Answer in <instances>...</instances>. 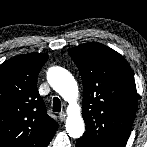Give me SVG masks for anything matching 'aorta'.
<instances>
[{"label": "aorta", "mask_w": 147, "mask_h": 147, "mask_svg": "<svg viewBox=\"0 0 147 147\" xmlns=\"http://www.w3.org/2000/svg\"><path fill=\"white\" fill-rule=\"evenodd\" d=\"M50 86L69 103L67 108L66 131L72 138H79L85 131L78 98V86L70 72L61 67H52L47 73Z\"/></svg>", "instance_id": "1"}]
</instances>
